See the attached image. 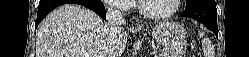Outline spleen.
I'll return each mask as SVG.
<instances>
[{"instance_id": "obj_1", "label": "spleen", "mask_w": 249, "mask_h": 57, "mask_svg": "<svg viewBox=\"0 0 249 57\" xmlns=\"http://www.w3.org/2000/svg\"><path fill=\"white\" fill-rule=\"evenodd\" d=\"M199 36L200 37H203L204 36V33L203 32H201V31H199ZM203 43H206L207 42V39H203V41H202ZM205 56L206 57H213V53L210 51V50H205Z\"/></svg>"}]
</instances>
